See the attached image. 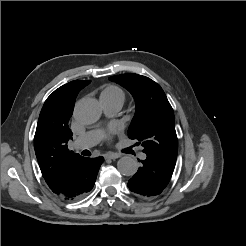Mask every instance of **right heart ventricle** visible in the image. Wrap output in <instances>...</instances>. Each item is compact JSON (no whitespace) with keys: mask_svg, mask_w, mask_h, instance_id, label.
<instances>
[{"mask_svg":"<svg viewBox=\"0 0 246 246\" xmlns=\"http://www.w3.org/2000/svg\"><path fill=\"white\" fill-rule=\"evenodd\" d=\"M101 101H117L124 103L125 101V92L116 85H107L103 88L100 94Z\"/></svg>","mask_w":246,"mask_h":246,"instance_id":"e07e8e85","label":"right heart ventricle"}]
</instances>
